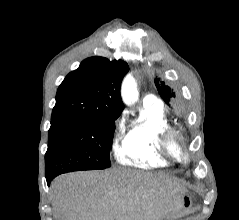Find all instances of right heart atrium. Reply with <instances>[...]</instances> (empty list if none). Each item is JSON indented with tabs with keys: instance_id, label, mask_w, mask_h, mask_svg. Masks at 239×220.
Here are the masks:
<instances>
[{
	"instance_id": "1",
	"label": "right heart atrium",
	"mask_w": 239,
	"mask_h": 220,
	"mask_svg": "<svg viewBox=\"0 0 239 220\" xmlns=\"http://www.w3.org/2000/svg\"><path fill=\"white\" fill-rule=\"evenodd\" d=\"M126 132V126L124 123V119L122 117H118L114 121V128L112 134V145L113 148H116L118 142L123 138Z\"/></svg>"
}]
</instances>
